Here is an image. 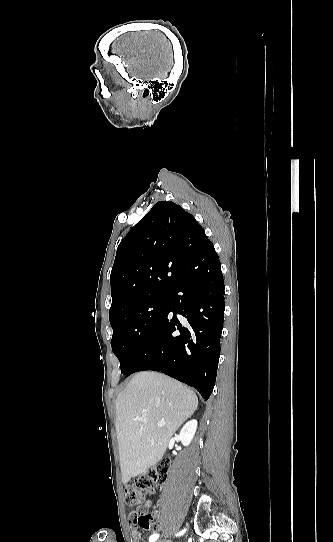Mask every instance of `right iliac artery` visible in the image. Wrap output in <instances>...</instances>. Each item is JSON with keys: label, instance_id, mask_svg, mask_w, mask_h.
Masks as SVG:
<instances>
[{"label": "right iliac artery", "instance_id": "82829eb1", "mask_svg": "<svg viewBox=\"0 0 333 542\" xmlns=\"http://www.w3.org/2000/svg\"><path fill=\"white\" fill-rule=\"evenodd\" d=\"M184 532H185V530H184V531H182V532H180V533H178V534H177L176 536H180V535H183V534H184ZM158 537H159V535H158V534H154V535L150 536V538H149V542H155V541L157 540V538H158Z\"/></svg>", "mask_w": 333, "mask_h": 542}]
</instances>
